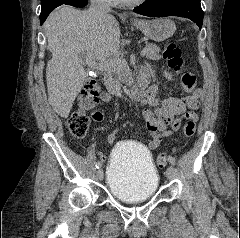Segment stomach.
<instances>
[{
    "label": "stomach",
    "instance_id": "obj_1",
    "mask_svg": "<svg viewBox=\"0 0 240 238\" xmlns=\"http://www.w3.org/2000/svg\"><path fill=\"white\" fill-rule=\"evenodd\" d=\"M136 26L142 31V33L154 40L163 41L171 37L176 31L174 21L168 18H156L152 20L139 21Z\"/></svg>",
    "mask_w": 240,
    "mask_h": 238
}]
</instances>
